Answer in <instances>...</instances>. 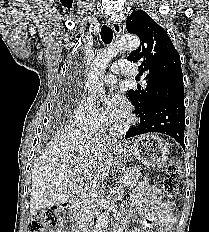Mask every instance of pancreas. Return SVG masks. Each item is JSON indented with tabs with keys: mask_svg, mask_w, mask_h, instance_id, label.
I'll return each instance as SVG.
<instances>
[{
	"mask_svg": "<svg viewBox=\"0 0 209 232\" xmlns=\"http://www.w3.org/2000/svg\"><path fill=\"white\" fill-rule=\"evenodd\" d=\"M125 175L128 176L126 186L130 189H132L134 186H136V183L138 182V180L141 176L140 170L137 167L128 168L125 171Z\"/></svg>",
	"mask_w": 209,
	"mask_h": 232,
	"instance_id": "pancreas-1",
	"label": "pancreas"
}]
</instances>
